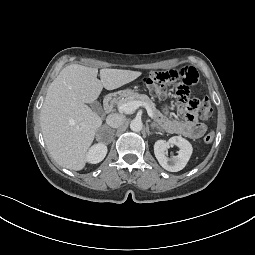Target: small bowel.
<instances>
[{
    "mask_svg": "<svg viewBox=\"0 0 255 255\" xmlns=\"http://www.w3.org/2000/svg\"><path fill=\"white\" fill-rule=\"evenodd\" d=\"M181 119H169L164 114H158V120L164 129L173 134L183 135L191 139L200 138L205 132V126L197 121L195 113L186 111L183 107L179 110Z\"/></svg>",
    "mask_w": 255,
    "mask_h": 255,
    "instance_id": "obj_1",
    "label": "small bowel"
}]
</instances>
